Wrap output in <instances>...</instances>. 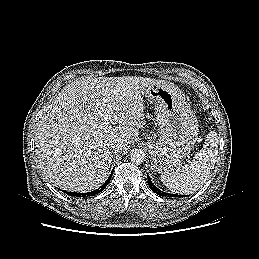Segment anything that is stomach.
<instances>
[{
    "mask_svg": "<svg viewBox=\"0 0 259 259\" xmlns=\"http://www.w3.org/2000/svg\"><path fill=\"white\" fill-rule=\"evenodd\" d=\"M155 104L159 137L147 142L151 169L167 173L179 167L198 138V122L182 91L173 83L156 81L145 94Z\"/></svg>",
    "mask_w": 259,
    "mask_h": 259,
    "instance_id": "stomach-1",
    "label": "stomach"
}]
</instances>
